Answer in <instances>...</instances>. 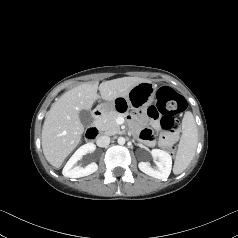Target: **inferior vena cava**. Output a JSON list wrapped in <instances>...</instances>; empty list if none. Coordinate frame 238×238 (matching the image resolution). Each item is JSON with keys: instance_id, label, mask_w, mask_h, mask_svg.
<instances>
[{"instance_id": "obj_1", "label": "inferior vena cava", "mask_w": 238, "mask_h": 238, "mask_svg": "<svg viewBox=\"0 0 238 238\" xmlns=\"http://www.w3.org/2000/svg\"><path fill=\"white\" fill-rule=\"evenodd\" d=\"M96 144L99 147H107L110 144V137L106 135L100 136L97 138Z\"/></svg>"}]
</instances>
